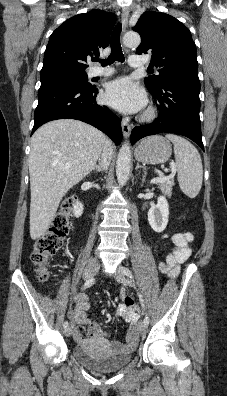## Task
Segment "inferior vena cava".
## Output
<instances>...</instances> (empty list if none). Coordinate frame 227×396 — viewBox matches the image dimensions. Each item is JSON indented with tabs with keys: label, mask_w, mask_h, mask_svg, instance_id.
<instances>
[{
	"label": "inferior vena cava",
	"mask_w": 227,
	"mask_h": 396,
	"mask_svg": "<svg viewBox=\"0 0 227 396\" xmlns=\"http://www.w3.org/2000/svg\"><path fill=\"white\" fill-rule=\"evenodd\" d=\"M100 160H101L102 167L104 168V170H106L108 168L110 160H111V153L109 152V149L107 146L104 147L102 155H101V159H99V161Z\"/></svg>",
	"instance_id": "obj_1"
}]
</instances>
